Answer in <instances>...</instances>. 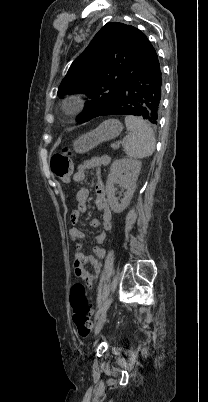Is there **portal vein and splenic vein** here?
<instances>
[{
	"instance_id": "obj_1",
	"label": "portal vein and splenic vein",
	"mask_w": 208,
	"mask_h": 402,
	"mask_svg": "<svg viewBox=\"0 0 208 402\" xmlns=\"http://www.w3.org/2000/svg\"><path fill=\"white\" fill-rule=\"evenodd\" d=\"M119 144H123V142H116V144H112L113 149L119 148Z\"/></svg>"
}]
</instances>
